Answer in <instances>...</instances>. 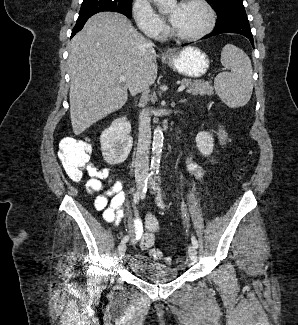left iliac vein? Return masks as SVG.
I'll return each instance as SVG.
<instances>
[{
  "mask_svg": "<svg viewBox=\"0 0 298 325\" xmlns=\"http://www.w3.org/2000/svg\"><path fill=\"white\" fill-rule=\"evenodd\" d=\"M150 185H151V188L153 189V191L159 192V188L156 186V182L154 180L150 181ZM188 255H189V258L191 259L192 262L197 261V258H198L197 250H196L194 245H189V247H188Z\"/></svg>",
  "mask_w": 298,
  "mask_h": 325,
  "instance_id": "4c4485c4",
  "label": "left iliac vein"
}]
</instances>
